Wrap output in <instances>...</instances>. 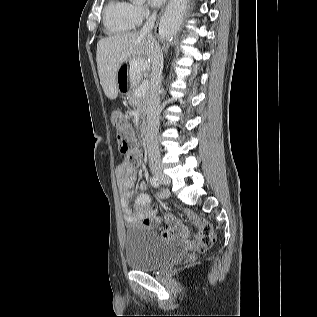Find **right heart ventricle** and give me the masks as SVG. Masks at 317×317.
I'll return each instance as SVG.
<instances>
[{
    "mask_svg": "<svg viewBox=\"0 0 317 317\" xmlns=\"http://www.w3.org/2000/svg\"><path fill=\"white\" fill-rule=\"evenodd\" d=\"M104 26L108 34L120 35L136 27L131 4L125 0H109L104 8Z\"/></svg>",
    "mask_w": 317,
    "mask_h": 317,
    "instance_id": "obj_1",
    "label": "right heart ventricle"
}]
</instances>
